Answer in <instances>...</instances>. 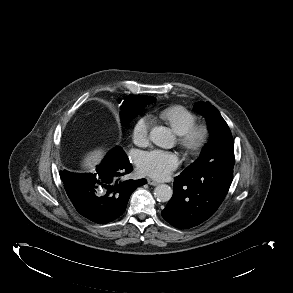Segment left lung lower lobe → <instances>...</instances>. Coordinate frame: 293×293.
I'll return each instance as SVG.
<instances>
[{
	"label": "left lung lower lobe",
	"instance_id": "0a47b994",
	"mask_svg": "<svg viewBox=\"0 0 293 293\" xmlns=\"http://www.w3.org/2000/svg\"><path fill=\"white\" fill-rule=\"evenodd\" d=\"M233 179V167L221 171H183L175 177L174 193L163 218L174 227H194L211 217L225 198Z\"/></svg>",
	"mask_w": 293,
	"mask_h": 293
}]
</instances>
